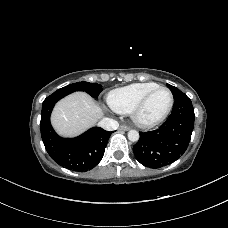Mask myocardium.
Instances as JSON below:
<instances>
[{
	"instance_id": "obj_1",
	"label": "myocardium",
	"mask_w": 228,
	"mask_h": 228,
	"mask_svg": "<svg viewBox=\"0 0 228 228\" xmlns=\"http://www.w3.org/2000/svg\"><path fill=\"white\" fill-rule=\"evenodd\" d=\"M158 90H165L168 92V94L170 96V103L168 105V108L166 109L164 114L161 117H159L158 119L150 121V122H145V121L141 120V118H140L141 111L144 108L147 101L149 100V98ZM173 105H174V96H173L171 90L165 86L155 87L154 89H152L148 93H146L140 99V101L135 105V107L133 108V110L131 112L132 120L135 123V125H137L138 127L142 128V129L154 128V127L160 125L163 121H165V119L171 113Z\"/></svg>"
}]
</instances>
